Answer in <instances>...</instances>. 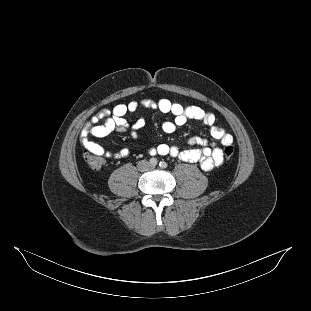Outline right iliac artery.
Returning <instances> with one entry per match:
<instances>
[{
    "mask_svg": "<svg viewBox=\"0 0 311 311\" xmlns=\"http://www.w3.org/2000/svg\"><path fill=\"white\" fill-rule=\"evenodd\" d=\"M158 163V160L156 158H151L150 159V164L153 165V166H156Z\"/></svg>",
    "mask_w": 311,
    "mask_h": 311,
    "instance_id": "right-iliac-artery-1",
    "label": "right iliac artery"
}]
</instances>
